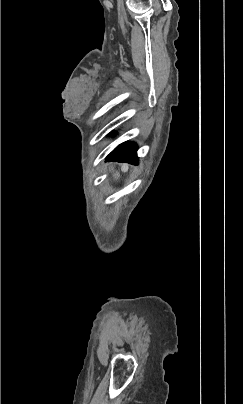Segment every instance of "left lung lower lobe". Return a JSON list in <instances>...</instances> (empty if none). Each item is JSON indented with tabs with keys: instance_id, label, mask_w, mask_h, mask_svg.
<instances>
[{
	"instance_id": "1",
	"label": "left lung lower lobe",
	"mask_w": 243,
	"mask_h": 404,
	"mask_svg": "<svg viewBox=\"0 0 243 404\" xmlns=\"http://www.w3.org/2000/svg\"><path fill=\"white\" fill-rule=\"evenodd\" d=\"M136 150L137 147L134 143L131 142L122 143L107 156V161H118V162H128L131 164H138Z\"/></svg>"
}]
</instances>
